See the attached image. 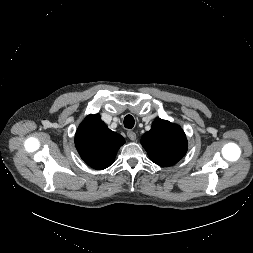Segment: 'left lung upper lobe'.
Here are the masks:
<instances>
[{
  "instance_id": "left-lung-upper-lobe-1",
  "label": "left lung upper lobe",
  "mask_w": 253,
  "mask_h": 253,
  "mask_svg": "<svg viewBox=\"0 0 253 253\" xmlns=\"http://www.w3.org/2000/svg\"><path fill=\"white\" fill-rule=\"evenodd\" d=\"M151 161L160 166L176 164L187 152V139L179 125L156 118L141 138Z\"/></svg>"
}]
</instances>
